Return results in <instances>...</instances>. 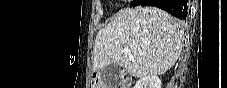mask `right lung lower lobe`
Segmentation results:
<instances>
[{
    "label": "right lung lower lobe",
    "instance_id": "98d812e1",
    "mask_svg": "<svg viewBox=\"0 0 227 88\" xmlns=\"http://www.w3.org/2000/svg\"><path fill=\"white\" fill-rule=\"evenodd\" d=\"M138 5L161 8L185 21L188 16V0H141Z\"/></svg>",
    "mask_w": 227,
    "mask_h": 88
}]
</instances>
